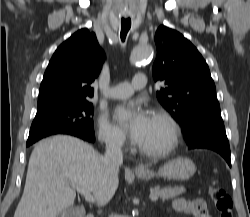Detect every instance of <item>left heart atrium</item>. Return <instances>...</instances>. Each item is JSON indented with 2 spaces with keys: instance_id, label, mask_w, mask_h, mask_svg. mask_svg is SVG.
Returning <instances> with one entry per match:
<instances>
[{
  "instance_id": "1",
  "label": "left heart atrium",
  "mask_w": 250,
  "mask_h": 217,
  "mask_svg": "<svg viewBox=\"0 0 250 217\" xmlns=\"http://www.w3.org/2000/svg\"><path fill=\"white\" fill-rule=\"evenodd\" d=\"M150 114L140 106H123L115 112L116 120L129 131L132 139L139 142L150 121Z\"/></svg>"
}]
</instances>
